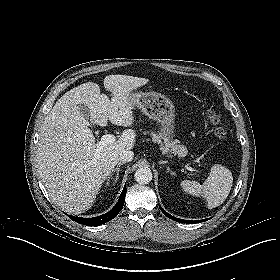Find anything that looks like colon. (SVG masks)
<instances>
[{
    "instance_id": "colon-1",
    "label": "colon",
    "mask_w": 280,
    "mask_h": 280,
    "mask_svg": "<svg viewBox=\"0 0 280 280\" xmlns=\"http://www.w3.org/2000/svg\"><path fill=\"white\" fill-rule=\"evenodd\" d=\"M207 121L213 127L214 135L217 139L222 140L226 136L224 128L220 125V118L214 111H208L206 114Z\"/></svg>"
}]
</instances>
